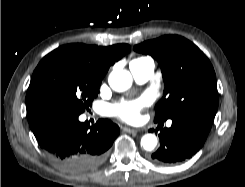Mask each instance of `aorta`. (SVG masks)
Instances as JSON below:
<instances>
[{
  "mask_svg": "<svg viewBox=\"0 0 245 187\" xmlns=\"http://www.w3.org/2000/svg\"><path fill=\"white\" fill-rule=\"evenodd\" d=\"M108 82L113 90L123 92L131 87L132 76L127 70L116 69L110 73ZM156 145L157 137L154 134H145L141 138V146L147 151H152Z\"/></svg>",
  "mask_w": 245,
  "mask_h": 187,
  "instance_id": "762f6f07",
  "label": "aorta"
}]
</instances>
